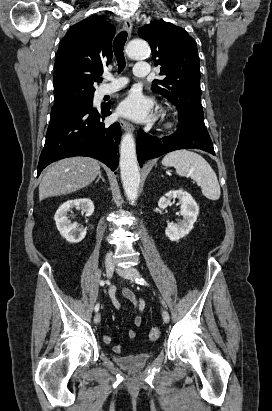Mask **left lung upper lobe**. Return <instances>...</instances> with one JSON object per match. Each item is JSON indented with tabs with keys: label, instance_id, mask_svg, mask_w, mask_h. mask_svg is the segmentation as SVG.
Masks as SVG:
<instances>
[{
	"label": "left lung upper lobe",
	"instance_id": "obj_1",
	"mask_svg": "<svg viewBox=\"0 0 272 411\" xmlns=\"http://www.w3.org/2000/svg\"><path fill=\"white\" fill-rule=\"evenodd\" d=\"M139 36L149 42L155 66H161V79L153 81V91L177 107L179 119L204 120L195 40L184 29L163 20L145 25Z\"/></svg>",
	"mask_w": 272,
	"mask_h": 411
}]
</instances>
